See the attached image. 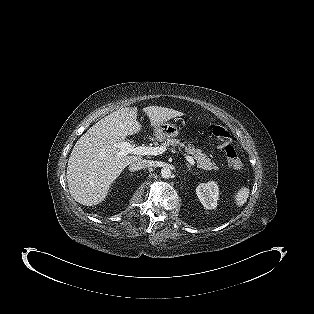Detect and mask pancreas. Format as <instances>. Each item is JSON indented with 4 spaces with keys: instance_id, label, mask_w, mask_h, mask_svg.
Here are the masks:
<instances>
[{
    "instance_id": "cf45deb5",
    "label": "pancreas",
    "mask_w": 314,
    "mask_h": 314,
    "mask_svg": "<svg viewBox=\"0 0 314 314\" xmlns=\"http://www.w3.org/2000/svg\"><path fill=\"white\" fill-rule=\"evenodd\" d=\"M178 145L183 147L185 151L196 160L198 168L206 171L218 170L215 162L211 161V159L203 153L201 149L196 148L193 144H191V142H180L179 140L173 138L162 140V146L166 147V149L170 146L176 147Z\"/></svg>"
}]
</instances>
